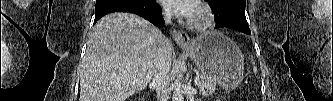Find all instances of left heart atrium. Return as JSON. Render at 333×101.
Returning <instances> with one entry per match:
<instances>
[{"label": "left heart atrium", "mask_w": 333, "mask_h": 101, "mask_svg": "<svg viewBox=\"0 0 333 101\" xmlns=\"http://www.w3.org/2000/svg\"><path fill=\"white\" fill-rule=\"evenodd\" d=\"M163 5L168 12L184 16H190L195 9L192 0H164Z\"/></svg>", "instance_id": "left-heart-atrium-1"}]
</instances>
